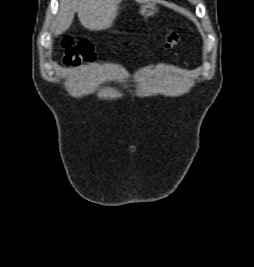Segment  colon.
<instances>
[{"label": "colon", "instance_id": "obj_1", "mask_svg": "<svg viewBox=\"0 0 254 267\" xmlns=\"http://www.w3.org/2000/svg\"><path fill=\"white\" fill-rule=\"evenodd\" d=\"M178 42V35L170 33L166 39V46L173 47ZM63 62L66 65H78L82 61H92L95 57L93 45L86 40L75 42L72 37L66 36L62 40Z\"/></svg>", "mask_w": 254, "mask_h": 267}]
</instances>
